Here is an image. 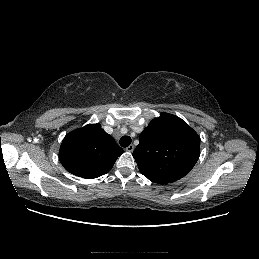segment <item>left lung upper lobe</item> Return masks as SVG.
<instances>
[{
  "label": "left lung upper lobe",
  "instance_id": "1",
  "mask_svg": "<svg viewBox=\"0 0 259 259\" xmlns=\"http://www.w3.org/2000/svg\"><path fill=\"white\" fill-rule=\"evenodd\" d=\"M200 156V137L179 117L162 113L143 130L133 152L140 172L161 184L184 177Z\"/></svg>",
  "mask_w": 259,
  "mask_h": 259
}]
</instances>
